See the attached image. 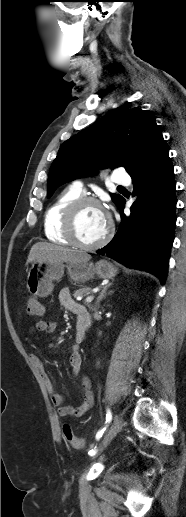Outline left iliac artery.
Returning a JSON list of instances; mask_svg holds the SVG:
<instances>
[{"instance_id": "1", "label": "left iliac artery", "mask_w": 186, "mask_h": 517, "mask_svg": "<svg viewBox=\"0 0 186 517\" xmlns=\"http://www.w3.org/2000/svg\"><path fill=\"white\" fill-rule=\"evenodd\" d=\"M111 420H112V413H111L110 409L108 408L107 411H106V423H110ZM104 430H105V428H103V429H101L100 431L97 432V434H96V439L97 440H99L102 437V434H103ZM96 451H97L96 448L91 449L88 452V454L90 456H93V455L96 454Z\"/></svg>"}]
</instances>
